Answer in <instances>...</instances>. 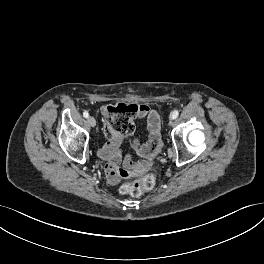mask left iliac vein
<instances>
[{
  "label": "left iliac vein",
  "instance_id": "obj_1",
  "mask_svg": "<svg viewBox=\"0 0 264 264\" xmlns=\"http://www.w3.org/2000/svg\"><path fill=\"white\" fill-rule=\"evenodd\" d=\"M173 124H174V119L171 118V119L169 120V125L172 126Z\"/></svg>",
  "mask_w": 264,
  "mask_h": 264
}]
</instances>
